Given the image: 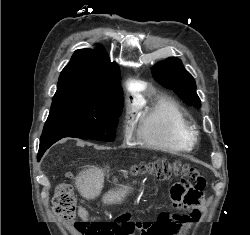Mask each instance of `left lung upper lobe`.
Masks as SVG:
<instances>
[{"label":"left lung upper lobe","instance_id":"obj_1","mask_svg":"<svg viewBox=\"0 0 250 235\" xmlns=\"http://www.w3.org/2000/svg\"><path fill=\"white\" fill-rule=\"evenodd\" d=\"M152 73L161 85L174 90L186 104L200 106L194 78L184 69L180 59L171 57L161 61L153 67Z\"/></svg>","mask_w":250,"mask_h":235}]
</instances>
